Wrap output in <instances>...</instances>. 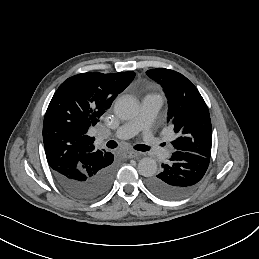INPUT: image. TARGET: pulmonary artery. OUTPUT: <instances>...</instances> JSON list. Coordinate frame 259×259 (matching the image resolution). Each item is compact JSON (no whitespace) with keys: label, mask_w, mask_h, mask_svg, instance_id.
<instances>
[{"label":"pulmonary artery","mask_w":259,"mask_h":259,"mask_svg":"<svg viewBox=\"0 0 259 259\" xmlns=\"http://www.w3.org/2000/svg\"><path fill=\"white\" fill-rule=\"evenodd\" d=\"M165 97L162 94L146 96L142 99L138 113L121 123L115 135H122L125 138L132 137L144 129L162 108ZM101 129V128H100ZM101 135H98V139Z\"/></svg>","instance_id":"1"}]
</instances>
